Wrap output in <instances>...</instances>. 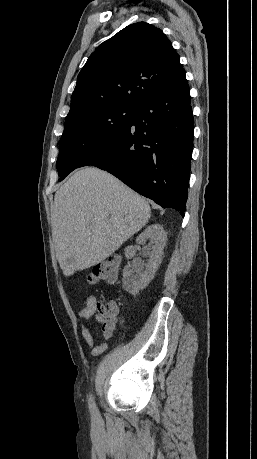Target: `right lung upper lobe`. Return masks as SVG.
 Here are the masks:
<instances>
[{"instance_id": "obj_1", "label": "right lung upper lobe", "mask_w": 257, "mask_h": 459, "mask_svg": "<svg viewBox=\"0 0 257 459\" xmlns=\"http://www.w3.org/2000/svg\"><path fill=\"white\" fill-rule=\"evenodd\" d=\"M178 54L158 28L131 24L103 42L78 75L65 125L110 107H136L183 74Z\"/></svg>"}]
</instances>
